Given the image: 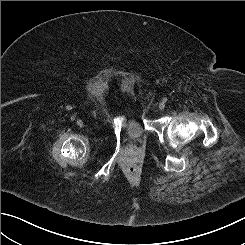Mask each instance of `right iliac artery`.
<instances>
[{"mask_svg": "<svg viewBox=\"0 0 245 245\" xmlns=\"http://www.w3.org/2000/svg\"><path fill=\"white\" fill-rule=\"evenodd\" d=\"M71 121H74L75 120V116H71Z\"/></svg>", "mask_w": 245, "mask_h": 245, "instance_id": "82829eb1", "label": "right iliac artery"}]
</instances>
